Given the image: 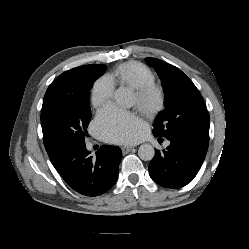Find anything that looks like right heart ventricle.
Instances as JSON below:
<instances>
[{
  "mask_svg": "<svg viewBox=\"0 0 249 249\" xmlns=\"http://www.w3.org/2000/svg\"><path fill=\"white\" fill-rule=\"evenodd\" d=\"M108 76L115 84L125 85L132 89L155 82L153 72L144 64L136 61L117 66Z\"/></svg>",
  "mask_w": 249,
  "mask_h": 249,
  "instance_id": "obj_1",
  "label": "right heart ventricle"
}]
</instances>
